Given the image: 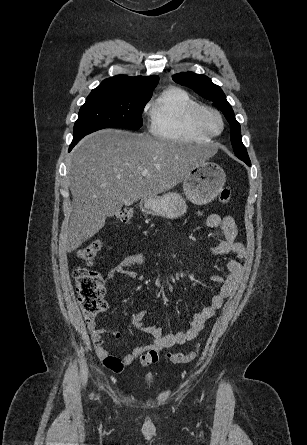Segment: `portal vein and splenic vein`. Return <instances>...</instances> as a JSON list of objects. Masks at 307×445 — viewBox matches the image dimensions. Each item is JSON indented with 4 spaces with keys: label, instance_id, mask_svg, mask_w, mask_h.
I'll use <instances>...</instances> for the list:
<instances>
[{
    "label": "portal vein and splenic vein",
    "instance_id": "obj_1",
    "mask_svg": "<svg viewBox=\"0 0 307 445\" xmlns=\"http://www.w3.org/2000/svg\"><path fill=\"white\" fill-rule=\"evenodd\" d=\"M141 174L142 176H147V174H149V170H147V168H142Z\"/></svg>",
    "mask_w": 307,
    "mask_h": 445
}]
</instances>
